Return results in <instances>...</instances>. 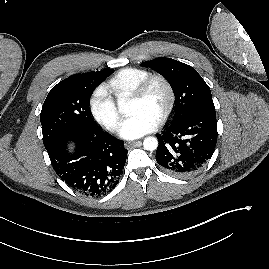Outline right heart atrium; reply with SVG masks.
Listing matches in <instances>:
<instances>
[{"instance_id": "right-heart-atrium-1", "label": "right heart atrium", "mask_w": 269, "mask_h": 269, "mask_svg": "<svg viewBox=\"0 0 269 269\" xmlns=\"http://www.w3.org/2000/svg\"><path fill=\"white\" fill-rule=\"evenodd\" d=\"M89 108L94 119L111 132H116L120 124V113L106 86H97L89 98Z\"/></svg>"}]
</instances>
